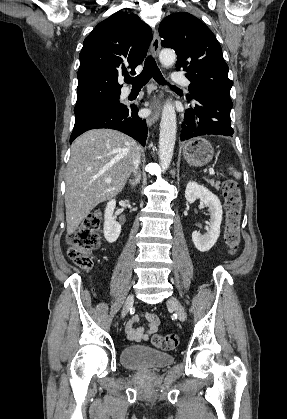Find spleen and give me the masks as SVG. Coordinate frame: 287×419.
Instances as JSON below:
<instances>
[{
  "instance_id": "spleen-1",
  "label": "spleen",
  "mask_w": 287,
  "mask_h": 419,
  "mask_svg": "<svg viewBox=\"0 0 287 419\" xmlns=\"http://www.w3.org/2000/svg\"><path fill=\"white\" fill-rule=\"evenodd\" d=\"M230 170L232 171L233 170V168H230ZM233 175L235 176V178H237V179H240V177H241V173H239V172H237V171H234L233 170Z\"/></svg>"
}]
</instances>
